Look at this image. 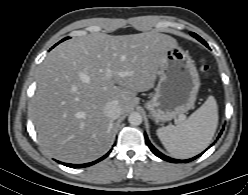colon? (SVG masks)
Listing matches in <instances>:
<instances>
[{
    "mask_svg": "<svg viewBox=\"0 0 248 195\" xmlns=\"http://www.w3.org/2000/svg\"><path fill=\"white\" fill-rule=\"evenodd\" d=\"M202 71L206 72L207 71V67L206 66H202Z\"/></svg>",
    "mask_w": 248,
    "mask_h": 195,
    "instance_id": "obj_1",
    "label": "colon"
}]
</instances>
